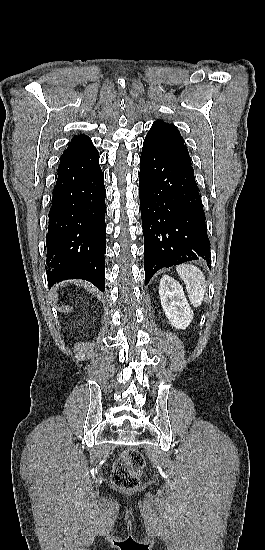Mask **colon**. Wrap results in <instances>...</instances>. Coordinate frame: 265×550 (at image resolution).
I'll list each match as a JSON object with an SVG mask.
<instances>
[{
    "label": "colon",
    "mask_w": 265,
    "mask_h": 550,
    "mask_svg": "<svg viewBox=\"0 0 265 550\" xmlns=\"http://www.w3.org/2000/svg\"><path fill=\"white\" fill-rule=\"evenodd\" d=\"M145 467L142 453L135 448L126 449L112 466L111 480L120 489H133L139 485Z\"/></svg>",
    "instance_id": "colon-1"
}]
</instances>
